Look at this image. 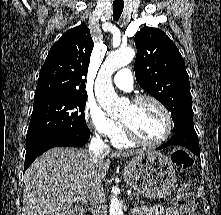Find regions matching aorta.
I'll list each match as a JSON object with an SVG mask.
<instances>
[{
	"instance_id": "762f6f07",
	"label": "aorta",
	"mask_w": 221,
	"mask_h": 215,
	"mask_svg": "<svg viewBox=\"0 0 221 215\" xmlns=\"http://www.w3.org/2000/svg\"><path fill=\"white\" fill-rule=\"evenodd\" d=\"M132 48L119 49L110 53L102 65L95 84V95L101 108L109 116H115L121 110L122 103L114 91L112 75L119 68L128 65L134 58ZM109 215H123V210L117 196L112 195Z\"/></svg>"
}]
</instances>
